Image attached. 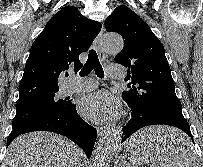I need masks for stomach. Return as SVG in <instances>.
<instances>
[{"mask_svg": "<svg viewBox=\"0 0 203 167\" xmlns=\"http://www.w3.org/2000/svg\"><path fill=\"white\" fill-rule=\"evenodd\" d=\"M148 129L146 128L144 131L147 132ZM120 167H134V150L131 142L127 143L126 153L120 159Z\"/></svg>", "mask_w": 203, "mask_h": 167, "instance_id": "0dacf381", "label": "stomach"}]
</instances>
